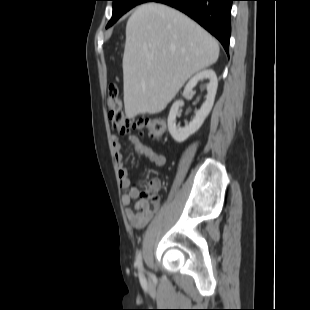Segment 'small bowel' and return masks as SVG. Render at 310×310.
Returning a JSON list of instances; mask_svg holds the SVG:
<instances>
[{
  "instance_id": "1",
  "label": "small bowel",
  "mask_w": 310,
  "mask_h": 310,
  "mask_svg": "<svg viewBox=\"0 0 310 310\" xmlns=\"http://www.w3.org/2000/svg\"><path fill=\"white\" fill-rule=\"evenodd\" d=\"M128 139L135 152L139 155L149 159L157 166H163L166 163L164 155L155 152L148 144L142 142L136 136L131 135ZM112 144L116 163L118 165L120 187L124 191L122 195V203L125 208L126 217L132 227L142 229L154 217L155 212L150 209L149 204L145 199H139L134 205H132V202L139 196V190L133 184L130 172L124 166L120 137L116 135L113 136Z\"/></svg>"
}]
</instances>
